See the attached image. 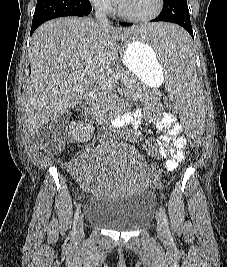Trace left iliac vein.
I'll return each instance as SVG.
<instances>
[{"mask_svg":"<svg viewBox=\"0 0 227 267\" xmlns=\"http://www.w3.org/2000/svg\"><path fill=\"white\" fill-rule=\"evenodd\" d=\"M156 220H157L156 229H157L158 236L159 237H165L166 236V228H165L163 218L161 217V215L159 213H157Z\"/></svg>","mask_w":227,"mask_h":267,"instance_id":"obj_1","label":"left iliac vein"}]
</instances>
